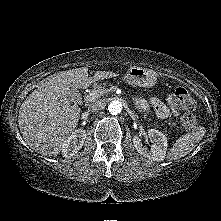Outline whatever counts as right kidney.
I'll return each instance as SVG.
<instances>
[{
  "label": "right kidney",
  "mask_w": 221,
  "mask_h": 221,
  "mask_svg": "<svg viewBox=\"0 0 221 221\" xmlns=\"http://www.w3.org/2000/svg\"><path fill=\"white\" fill-rule=\"evenodd\" d=\"M86 139V131L83 129H78L72 132L66 141L62 145V155L63 157L70 158L73 157L84 145Z\"/></svg>",
  "instance_id": "ca27d5eb"
}]
</instances>
